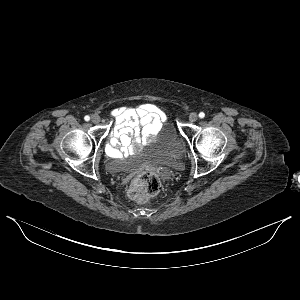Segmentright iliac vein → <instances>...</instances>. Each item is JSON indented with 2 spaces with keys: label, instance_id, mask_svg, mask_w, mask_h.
I'll return each instance as SVG.
<instances>
[{
  "label": "right iliac vein",
  "instance_id": "obj_1",
  "mask_svg": "<svg viewBox=\"0 0 300 300\" xmlns=\"http://www.w3.org/2000/svg\"><path fill=\"white\" fill-rule=\"evenodd\" d=\"M91 121H92L93 123H95V124L99 123V122H100V116L97 115V114H93V115L91 116Z\"/></svg>",
  "mask_w": 300,
  "mask_h": 300
}]
</instances>
